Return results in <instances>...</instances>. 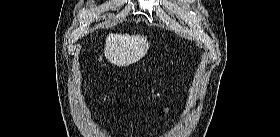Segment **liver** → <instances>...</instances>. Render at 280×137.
Returning <instances> with one entry per match:
<instances>
[{
	"label": "liver",
	"instance_id": "1",
	"mask_svg": "<svg viewBox=\"0 0 280 137\" xmlns=\"http://www.w3.org/2000/svg\"><path fill=\"white\" fill-rule=\"evenodd\" d=\"M148 49L149 43L143 35L110 33L106 38L104 55L110 63L122 67L140 60Z\"/></svg>",
	"mask_w": 280,
	"mask_h": 137
}]
</instances>
